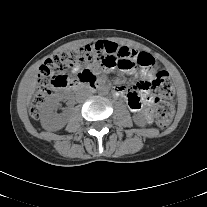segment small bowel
<instances>
[{
    "label": "small bowel",
    "instance_id": "c3829d8e",
    "mask_svg": "<svg viewBox=\"0 0 207 207\" xmlns=\"http://www.w3.org/2000/svg\"><path fill=\"white\" fill-rule=\"evenodd\" d=\"M78 68H73L72 72H76ZM132 75L141 74L145 79L138 81L131 87L116 86L113 88L115 97L124 98L132 112L138 113L144 110L146 121L150 122L153 116V98L149 94L148 78L151 77L152 71H139L135 68L125 70Z\"/></svg>",
    "mask_w": 207,
    "mask_h": 207
}]
</instances>
